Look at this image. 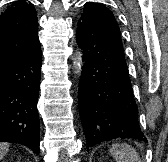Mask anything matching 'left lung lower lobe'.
Listing matches in <instances>:
<instances>
[{
    "instance_id": "left-lung-lower-lobe-1",
    "label": "left lung lower lobe",
    "mask_w": 168,
    "mask_h": 162,
    "mask_svg": "<svg viewBox=\"0 0 168 162\" xmlns=\"http://www.w3.org/2000/svg\"><path fill=\"white\" fill-rule=\"evenodd\" d=\"M77 43L83 49L79 112L87 148L116 138L147 142L136 105L121 38L81 17Z\"/></svg>"
}]
</instances>
